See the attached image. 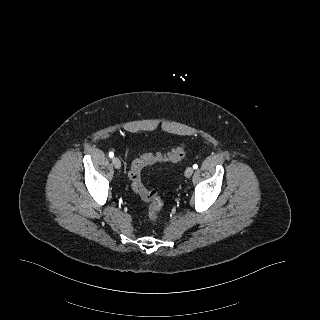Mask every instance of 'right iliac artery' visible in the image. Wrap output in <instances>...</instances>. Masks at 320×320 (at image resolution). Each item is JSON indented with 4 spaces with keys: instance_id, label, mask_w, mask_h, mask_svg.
<instances>
[{
    "instance_id": "82829eb1",
    "label": "right iliac artery",
    "mask_w": 320,
    "mask_h": 320,
    "mask_svg": "<svg viewBox=\"0 0 320 320\" xmlns=\"http://www.w3.org/2000/svg\"><path fill=\"white\" fill-rule=\"evenodd\" d=\"M114 156L113 152L109 153V157L112 158Z\"/></svg>"
}]
</instances>
